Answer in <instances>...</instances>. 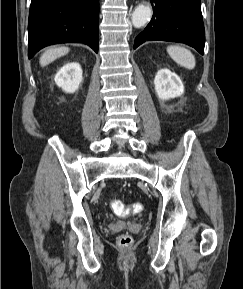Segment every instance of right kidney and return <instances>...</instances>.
Instances as JSON below:
<instances>
[{
    "mask_svg": "<svg viewBox=\"0 0 243 289\" xmlns=\"http://www.w3.org/2000/svg\"><path fill=\"white\" fill-rule=\"evenodd\" d=\"M55 83L66 93H74L82 82V68L77 62L65 64L55 75Z\"/></svg>",
    "mask_w": 243,
    "mask_h": 289,
    "instance_id": "right-kidney-1",
    "label": "right kidney"
}]
</instances>
